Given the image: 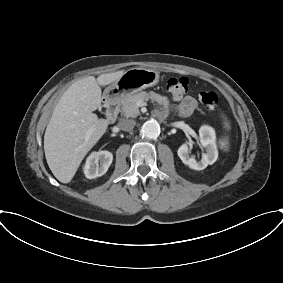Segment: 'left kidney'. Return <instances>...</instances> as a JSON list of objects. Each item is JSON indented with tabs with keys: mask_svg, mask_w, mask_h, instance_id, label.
Returning <instances> with one entry per match:
<instances>
[{
	"mask_svg": "<svg viewBox=\"0 0 283 283\" xmlns=\"http://www.w3.org/2000/svg\"><path fill=\"white\" fill-rule=\"evenodd\" d=\"M199 139L201 145L205 148L206 152L203 153L202 159L196 161L194 157L189 155L190 146L187 143L182 144L177 153L182 162L194 170H203L208 165H212L218 158V150L216 146L215 131L210 126H201L199 129Z\"/></svg>",
	"mask_w": 283,
	"mask_h": 283,
	"instance_id": "5707ae66",
	"label": "left kidney"
}]
</instances>
